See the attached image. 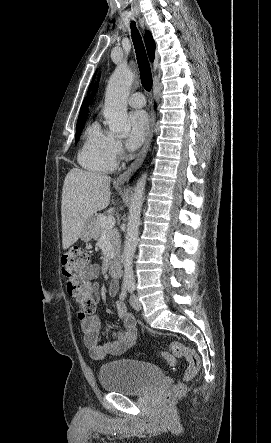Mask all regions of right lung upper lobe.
<instances>
[{
  "mask_svg": "<svg viewBox=\"0 0 271 443\" xmlns=\"http://www.w3.org/2000/svg\"><path fill=\"white\" fill-rule=\"evenodd\" d=\"M144 38H145V44H146L149 59L153 62L154 55H155V42H154L153 37L149 31H146ZM91 86H92V84H91ZM91 86L89 87L88 94L91 89ZM87 100H88V98L86 97L83 101V104L80 109L78 120L86 119V115H87V111H88Z\"/></svg>",
  "mask_w": 271,
  "mask_h": 443,
  "instance_id": "1",
  "label": "right lung upper lobe"
}]
</instances>
